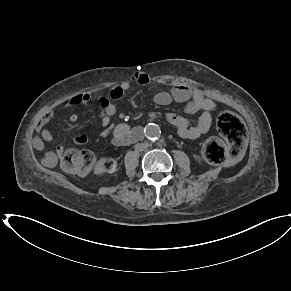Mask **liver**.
Returning <instances> with one entry per match:
<instances>
[{"instance_id": "liver-1", "label": "liver", "mask_w": 291, "mask_h": 291, "mask_svg": "<svg viewBox=\"0 0 291 291\" xmlns=\"http://www.w3.org/2000/svg\"><path fill=\"white\" fill-rule=\"evenodd\" d=\"M46 158H47V159L55 158V154H54L53 152H48V153L46 154Z\"/></svg>"}]
</instances>
